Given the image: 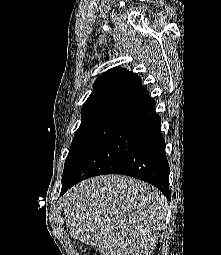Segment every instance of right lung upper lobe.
I'll list each match as a JSON object with an SVG mask.
<instances>
[{
  "label": "right lung upper lobe",
  "mask_w": 221,
  "mask_h": 255,
  "mask_svg": "<svg viewBox=\"0 0 221 255\" xmlns=\"http://www.w3.org/2000/svg\"><path fill=\"white\" fill-rule=\"evenodd\" d=\"M145 91L142 80L125 68H113L99 76L83 105L82 113L105 107L118 108Z\"/></svg>",
  "instance_id": "1"
}]
</instances>
